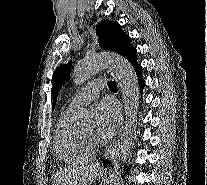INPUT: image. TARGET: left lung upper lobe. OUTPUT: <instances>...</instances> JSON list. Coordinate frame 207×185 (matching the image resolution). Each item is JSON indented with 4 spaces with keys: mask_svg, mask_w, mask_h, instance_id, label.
Instances as JSON below:
<instances>
[{
    "mask_svg": "<svg viewBox=\"0 0 207 185\" xmlns=\"http://www.w3.org/2000/svg\"><path fill=\"white\" fill-rule=\"evenodd\" d=\"M99 46L114 51L126 57L133 67L137 66V50L132 46L130 37L122 29L118 22L102 20L96 27ZM71 62L59 66L52 79L53 108L62 85L70 76Z\"/></svg>",
    "mask_w": 207,
    "mask_h": 185,
    "instance_id": "1",
    "label": "left lung upper lobe"
}]
</instances>
